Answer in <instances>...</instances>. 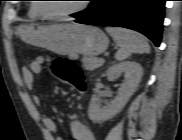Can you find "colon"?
Wrapping results in <instances>:
<instances>
[{
	"mask_svg": "<svg viewBox=\"0 0 182 140\" xmlns=\"http://www.w3.org/2000/svg\"><path fill=\"white\" fill-rule=\"evenodd\" d=\"M53 70L77 91L82 93L85 90L81 70L75 63L69 60H58L54 64Z\"/></svg>",
	"mask_w": 182,
	"mask_h": 140,
	"instance_id": "obj_1",
	"label": "colon"
}]
</instances>
